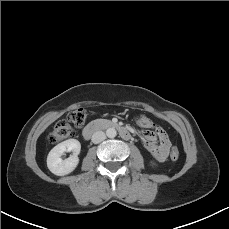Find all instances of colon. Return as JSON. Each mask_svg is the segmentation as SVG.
<instances>
[{"label":"colon","mask_w":229,"mask_h":229,"mask_svg":"<svg viewBox=\"0 0 229 229\" xmlns=\"http://www.w3.org/2000/svg\"><path fill=\"white\" fill-rule=\"evenodd\" d=\"M68 120H61L56 123L49 136V141L53 144L74 137L75 131L73 126L81 127L86 119V112L83 109H75L68 115ZM180 152L177 147H173L170 153L172 161L179 159Z\"/></svg>","instance_id":"obj_1"}]
</instances>
